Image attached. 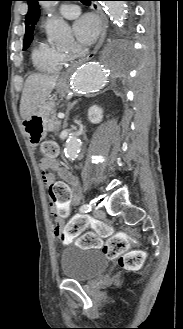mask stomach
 <instances>
[{"instance_id":"0dacf381","label":"stomach","mask_w":183,"mask_h":329,"mask_svg":"<svg viewBox=\"0 0 183 329\" xmlns=\"http://www.w3.org/2000/svg\"><path fill=\"white\" fill-rule=\"evenodd\" d=\"M56 88L60 96L65 95V85L63 83H58ZM55 107L54 101L46 99L28 119L23 120L24 131L33 147L45 139L48 121L54 114Z\"/></svg>"}]
</instances>
